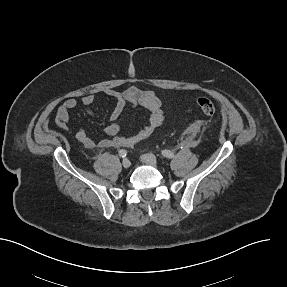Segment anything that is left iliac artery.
Here are the masks:
<instances>
[{
  "mask_svg": "<svg viewBox=\"0 0 287 287\" xmlns=\"http://www.w3.org/2000/svg\"><path fill=\"white\" fill-rule=\"evenodd\" d=\"M184 146L185 145L182 143L180 145V148L182 149V148H184ZM161 153L164 157L169 158V159L174 157V153L170 150H163Z\"/></svg>",
  "mask_w": 287,
  "mask_h": 287,
  "instance_id": "44dca946",
  "label": "left iliac artery"
}]
</instances>
